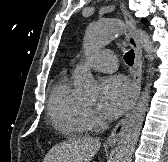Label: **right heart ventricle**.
<instances>
[{
    "instance_id": "1",
    "label": "right heart ventricle",
    "mask_w": 168,
    "mask_h": 162,
    "mask_svg": "<svg viewBox=\"0 0 168 162\" xmlns=\"http://www.w3.org/2000/svg\"><path fill=\"white\" fill-rule=\"evenodd\" d=\"M86 110L85 104L75 96L70 78L59 76L48 101V114L54 127L70 136L86 134L90 129Z\"/></svg>"
}]
</instances>
